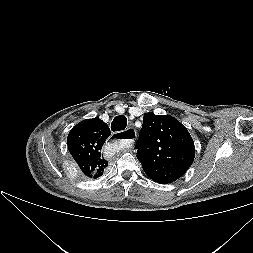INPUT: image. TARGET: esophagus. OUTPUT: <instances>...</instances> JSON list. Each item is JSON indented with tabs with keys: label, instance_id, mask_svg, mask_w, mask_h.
Segmentation results:
<instances>
[{
	"label": "esophagus",
	"instance_id": "obj_1",
	"mask_svg": "<svg viewBox=\"0 0 253 253\" xmlns=\"http://www.w3.org/2000/svg\"><path fill=\"white\" fill-rule=\"evenodd\" d=\"M117 136H120V138H116ZM112 137L113 140H119L123 142L125 146L130 147L133 145L136 138V131L132 128H128L125 131L114 133Z\"/></svg>",
	"mask_w": 253,
	"mask_h": 253
}]
</instances>
